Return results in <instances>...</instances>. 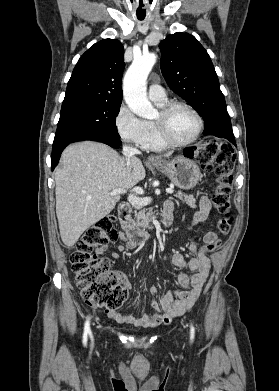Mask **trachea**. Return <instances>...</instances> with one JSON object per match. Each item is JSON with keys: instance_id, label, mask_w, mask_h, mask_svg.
<instances>
[{"instance_id": "3493384b", "label": "trachea", "mask_w": 279, "mask_h": 391, "mask_svg": "<svg viewBox=\"0 0 279 391\" xmlns=\"http://www.w3.org/2000/svg\"><path fill=\"white\" fill-rule=\"evenodd\" d=\"M139 20H143V18H139Z\"/></svg>"}]
</instances>
